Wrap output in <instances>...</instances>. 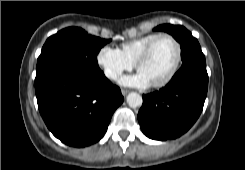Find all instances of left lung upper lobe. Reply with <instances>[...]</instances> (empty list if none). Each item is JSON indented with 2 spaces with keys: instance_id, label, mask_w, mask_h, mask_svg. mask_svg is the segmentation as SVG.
<instances>
[{
  "instance_id": "obj_1",
  "label": "left lung upper lobe",
  "mask_w": 245,
  "mask_h": 170,
  "mask_svg": "<svg viewBox=\"0 0 245 170\" xmlns=\"http://www.w3.org/2000/svg\"><path fill=\"white\" fill-rule=\"evenodd\" d=\"M171 34L181 44L182 65L206 66L205 56L196 38L183 26L164 24L154 28Z\"/></svg>"
}]
</instances>
